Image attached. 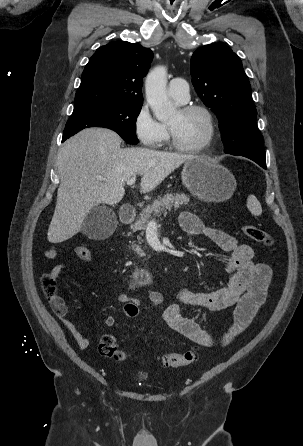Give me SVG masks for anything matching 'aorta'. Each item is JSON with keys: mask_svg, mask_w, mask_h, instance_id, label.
I'll use <instances>...</instances> for the list:
<instances>
[{"mask_svg": "<svg viewBox=\"0 0 303 446\" xmlns=\"http://www.w3.org/2000/svg\"><path fill=\"white\" fill-rule=\"evenodd\" d=\"M166 85L167 69L164 66L155 67L146 77V100L159 121L168 120L176 113L175 106L167 96Z\"/></svg>", "mask_w": 303, "mask_h": 446, "instance_id": "762f6f07", "label": "aorta"}]
</instances>
